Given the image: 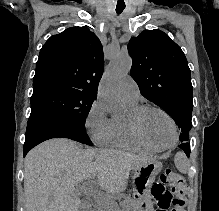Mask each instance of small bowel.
Returning <instances> with one entry per match:
<instances>
[{
  "mask_svg": "<svg viewBox=\"0 0 219 211\" xmlns=\"http://www.w3.org/2000/svg\"><path fill=\"white\" fill-rule=\"evenodd\" d=\"M154 198L157 204L156 211H170L169 209L172 204L170 192L163 189H157L154 193Z\"/></svg>",
  "mask_w": 219,
  "mask_h": 211,
  "instance_id": "1",
  "label": "small bowel"
}]
</instances>
